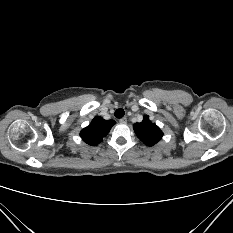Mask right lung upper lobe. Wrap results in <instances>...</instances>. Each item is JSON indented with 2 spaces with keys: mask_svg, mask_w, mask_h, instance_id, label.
<instances>
[{
  "mask_svg": "<svg viewBox=\"0 0 233 233\" xmlns=\"http://www.w3.org/2000/svg\"><path fill=\"white\" fill-rule=\"evenodd\" d=\"M114 124L113 120H104L96 116L88 127L81 130L80 136L84 142L95 146L102 141Z\"/></svg>",
  "mask_w": 233,
  "mask_h": 233,
  "instance_id": "right-lung-upper-lobe-1",
  "label": "right lung upper lobe"
}]
</instances>
